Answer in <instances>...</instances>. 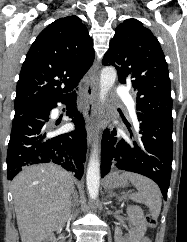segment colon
I'll return each instance as SVG.
<instances>
[{
  "mask_svg": "<svg viewBox=\"0 0 187 242\" xmlns=\"http://www.w3.org/2000/svg\"><path fill=\"white\" fill-rule=\"evenodd\" d=\"M146 221L150 227H154L156 225V218L151 214H148L146 216ZM141 242H150V241L148 239H143Z\"/></svg>",
  "mask_w": 187,
  "mask_h": 242,
  "instance_id": "colon-1",
  "label": "colon"
}]
</instances>
